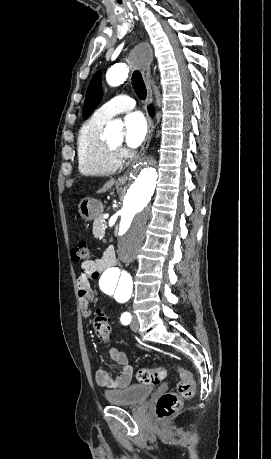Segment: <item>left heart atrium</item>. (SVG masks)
<instances>
[{
    "mask_svg": "<svg viewBox=\"0 0 271 459\" xmlns=\"http://www.w3.org/2000/svg\"><path fill=\"white\" fill-rule=\"evenodd\" d=\"M125 142L131 148L139 147L146 139L148 127L145 117L140 112L126 116Z\"/></svg>",
    "mask_w": 271,
    "mask_h": 459,
    "instance_id": "left-heart-atrium-1",
    "label": "left heart atrium"
}]
</instances>
